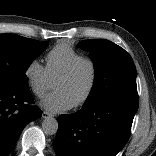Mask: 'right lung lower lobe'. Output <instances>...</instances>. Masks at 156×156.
<instances>
[{"label":"right lung lower lobe","mask_w":156,"mask_h":156,"mask_svg":"<svg viewBox=\"0 0 156 156\" xmlns=\"http://www.w3.org/2000/svg\"><path fill=\"white\" fill-rule=\"evenodd\" d=\"M29 103H33L29 87L16 88L0 84V156H7L24 127L41 117L42 111L31 108Z\"/></svg>","instance_id":"obj_1"}]
</instances>
